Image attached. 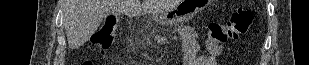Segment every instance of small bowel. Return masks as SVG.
<instances>
[{"mask_svg":"<svg viewBox=\"0 0 309 65\" xmlns=\"http://www.w3.org/2000/svg\"><path fill=\"white\" fill-rule=\"evenodd\" d=\"M207 54H198L200 43L196 32L193 29H187L183 37L185 48L184 65H217V58L224 52V46L217 42L204 41Z\"/></svg>","mask_w":309,"mask_h":65,"instance_id":"c3829d8e","label":"small bowel"}]
</instances>
